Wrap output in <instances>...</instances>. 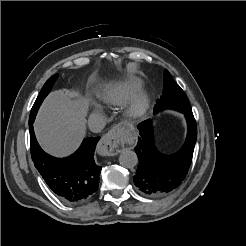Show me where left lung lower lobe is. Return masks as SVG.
I'll return each mask as SVG.
<instances>
[{
	"mask_svg": "<svg viewBox=\"0 0 246 246\" xmlns=\"http://www.w3.org/2000/svg\"><path fill=\"white\" fill-rule=\"evenodd\" d=\"M159 110L155 106L154 113ZM188 132L184 145L175 154H161L155 147L151 120L138 125L139 138L135 151L139 164L134 184L148 196H161L177 188L184 180L190 167L197 139V127L192 109L185 112Z\"/></svg>",
	"mask_w": 246,
	"mask_h": 246,
	"instance_id": "obj_1",
	"label": "left lung lower lobe"
}]
</instances>
